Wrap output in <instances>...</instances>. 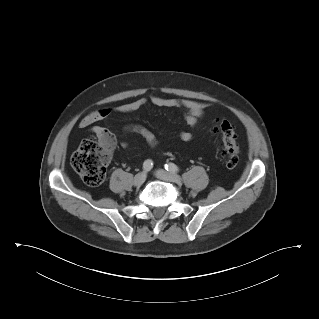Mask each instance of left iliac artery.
I'll return each instance as SVG.
<instances>
[{"label":"left iliac artery","mask_w":319,"mask_h":319,"mask_svg":"<svg viewBox=\"0 0 319 319\" xmlns=\"http://www.w3.org/2000/svg\"><path fill=\"white\" fill-rule=\"evenodd\" d=\"M165 169L170 172H178L179 168L174 163L165 164Z\"/></svg>","instance_id":"obj_1"}]
</instances>
